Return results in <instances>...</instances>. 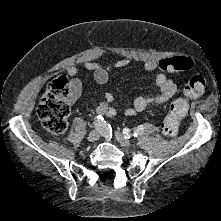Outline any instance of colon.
Here are the masks:
<instances>
[{"label":"colon","instance_id":"5ec220e1","mask_svg":"<svg viewBox=\"0 0 221 221\" xmlns=\"http://www.w3.org/2000/svg\"><path fill=\"white\" fill-rule=\"evenodd\" d=\"M159 68L164 72L188 71L193 67L190 58L178 56L163 59ZM206 82L201 75L193 76L185 85L184 97L175 100L162 124V133L173 137L188 109V101L199 97L205 90ZM74 98L71 83L66 77L60 76L47 88L38 105L37 114L44 129L53 136L65 132L71 114L70 102Z\"/></svg>","mask_w":221,"mask_h":221}]
</instances>
